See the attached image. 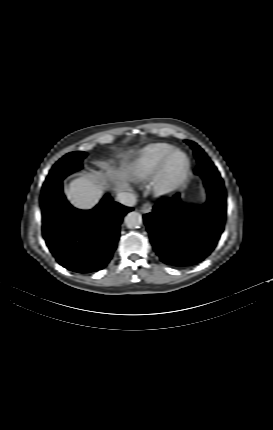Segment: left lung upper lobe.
I'll return each instance as SVG.
<instances>
[{
	"mask_svg": "<svg viewBox=\"0 0 273 430\" xmlns=\"http://www.w3.org/2000/svg\"><path fill=\"white\" fill-rule=\"evenodd\" d=\"M185 142L193 149L198 164L211 162L203 149H201L195 142L190 140H185Z\"/></svg>",
	"mask_w": 273,
	"mask_h": 430,
	"instance_id": "5c2ea615",
	"label": "left lung upper lobe"
}]
</instances>
